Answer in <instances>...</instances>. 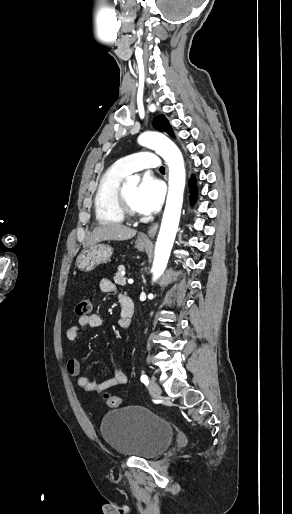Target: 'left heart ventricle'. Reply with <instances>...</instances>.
Instances as JSON below:
<instances>
[{"label": "left heart ventricle", "instance_id": "obj_1", "mask_svg": "<svg viewBox=\"0 0 292 514\" xmlns=\"http://www.w3.org/2000/svg\"><path fill=\"white\" fill-rule=\"evenodd\" d=\"M136 191L137 187L134 186H124L123 187V193L124 197L128 203V205L135 211H140L137 202H136Z\"/></svg>", "mask_w": 292, "mask_h": 514}]
</instances>
